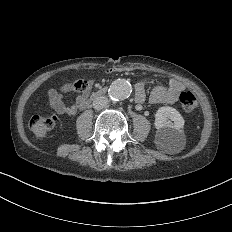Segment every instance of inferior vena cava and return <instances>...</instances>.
Masks as SVG:
<instances>
[{
	"instance_id": "inferior-vena-cava-1",
	"label": "inferior vena cava",
	"mask_w": 232,
	"mask_h": 232,
	"mask_svg": "<svg viewBox=\"0 0 232 232\" xmlns=\"http://www.w3.org/2000/svg\"><path fill=\"white\" fill-rule=\"evenodd\" d=\"M107 104H108V98L101 96V97H98L97 99L94 100L93 107L97 111H102L105 109Z\"/></svg>"
}]
</instances>
